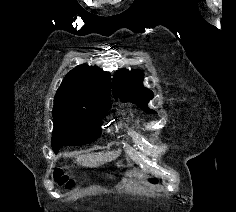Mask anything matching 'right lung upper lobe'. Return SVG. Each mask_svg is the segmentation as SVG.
<instances>
[{
	"label": "right lung upper lobe",
	"instance_id": "obj_1",
	"mask_svg": "<svg viewBox=\"0 0 236 212\" xmlns=\"http://www.w3.org/2000/svg\"><path fill=\"white\" fill-rule=\"evenodd\" d=\"M110 100V74L82 64L72 69L58 88L54 105L93 108Z\"/></svg>",
	"mask_w": 236,
	"mask_h": 212
}]
</instances>
